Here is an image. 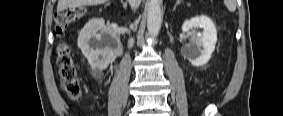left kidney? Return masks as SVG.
Masks as SVG:
<instances>
[{"label":"left kidney","instance_id":"5707ae66","mask_svg":"<svg viewBox=\"0 0 283 116\" xmlns=\"http://www.w3.org/2000/svg\"><path fill=\"white\" fill-rule=\"evenodd\" d=\"M195 27L202 28L203 33L200 36H195L187 45L185 57L193 66H202L210 60L215 50L217 30L209 17L201 15L186 20L182 25V31L187 32Z\"/></svg>","mask_w":283,"mask_h":116}]
</instances>
